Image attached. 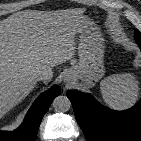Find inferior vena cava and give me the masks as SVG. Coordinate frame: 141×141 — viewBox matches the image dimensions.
<instances>
[{
    "instance_id": "602c4592",
    "label": "inferior vena cava",
    "mask_w": 141,
    "mask_h": 141,
    "mask_svg": "<svg viewBox=\"0 0 141 141\" xmlns=\"http://www.w3.org/2000/svg\"><path fill=\"white\" fill-rule=\"evenodd\" d=\"M36 80H42L44 82H49L51 80V75L46 71H38L34 74Z\"/></svg>"
}]
</instances>
